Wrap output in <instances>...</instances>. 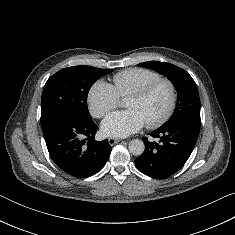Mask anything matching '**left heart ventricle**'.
<instances>
[{"label":"left heart ventricle","instance_id":"b2bd125f","mask_svg":"<svg viewBox=\"0 0 235 235\" xmlns=\"http://www.w3.org/2000/svg\"><path fill=\"white\" fill-rule=\"evenodd\" d=\"M169 100L170 95L168 88L161 85L144 99L128 98L125 106L127 109L137 110L147 123L155 120L165 112Z\"/></svg>","mask_w":235,"mask_h":235}]
</instances>
